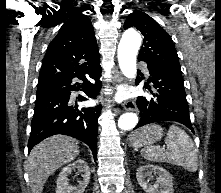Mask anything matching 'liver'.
<instances>
[{
    "label": "liver",
    "mask_w": 221,
    "mask_h": 193,
    "mask_svg": "<svg viewBox=\"0 0 221 193\" xmlns=\"http://www.w3.org/2000/svg\"><path fill=\"white\" fill-rule=\"evenodd\" d=\"M79 152L78 142L65 135H54L37 144L27 162L31 192L42 193L49 176L73 161Z\"/></svg>",
    "instance_id": "6515ba94"
}]
</instances>
